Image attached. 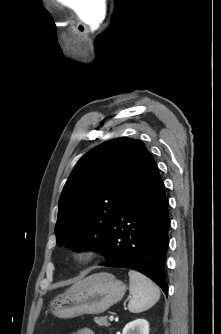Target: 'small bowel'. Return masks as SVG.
Segmentation results:
<instances>
[{"label":"small bowel","mask_w":221,"mask_h":334,"mask_svg":"<svg viewBox=\"0 0 221 334\" xmlns=\"http://www.w3.org/2000/svg\"><path fill=\"white\" fill-rule=\"evenodd\" d=\"M71 334H95V333L90 328L84 327V328L78 329L77 331Z\"/></svg>","instance_id":"1"}]
</instances>
